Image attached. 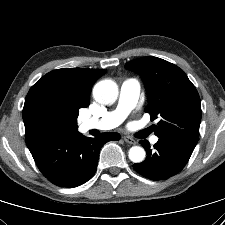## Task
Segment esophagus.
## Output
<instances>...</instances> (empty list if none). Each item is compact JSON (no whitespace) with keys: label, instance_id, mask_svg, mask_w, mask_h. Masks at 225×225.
<instances>
[{"label":"esophagus","instance_id":"esophagus-1","mask_svg":"<svg viewBox=\"0 0 225 225\" xmlns=\"http://www.w3.org/2000/svg\"><path fill=\"white\" fill-rule=\"evenodd\" d=\"M123 139L128 144H132V145L136 144V140L130 136H124Z\"/></svg>","mask_w":225,"mask_h":225}]
</instances>
